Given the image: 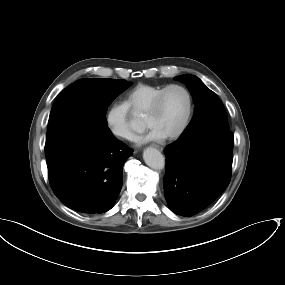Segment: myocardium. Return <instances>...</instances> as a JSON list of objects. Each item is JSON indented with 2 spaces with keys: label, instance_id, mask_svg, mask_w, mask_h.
I'll return each mask as SVG.
<instances>
[{
  "label": "myocardium",
  "instance_id": "f54148a6",
  "mask_svg": "<svg viewBox=\"0 0 285 285\" xmlns=\"http://www.w3.org/2000/svg\"><path fill=\"white\" fill-rule=\"evenodd\" d=\"M171 88H179L186 94L187 110H186L185 116H184L181 124L179 125V127L173 133L161 136L162 139H166V140L176 139L179 136H181V134L185 131L186 127L189 124V121H190V118L192 115V111H193V99H192V95H191L190 91L188 90V88L185 87L184 85L178 84V83H172V84H168V85L164 86L157 93V95L155 96V98L153 99V101L151 102L149 107L147 108L146 112L144 113V115H151V114H154L155 112H157V110L160 108L163 96Z\"/></svg>",
  "mask_w": 285,
  "mask_h": 285
}]
</instances>
